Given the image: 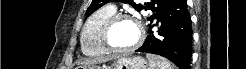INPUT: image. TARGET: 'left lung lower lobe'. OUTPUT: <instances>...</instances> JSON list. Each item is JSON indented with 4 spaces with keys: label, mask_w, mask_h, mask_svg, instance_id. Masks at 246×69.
<instances>
[{
    "label": "left lung lower lobe",
    "mask_w": 246,
    "mask_h": 69,
    "mask_svg": "<svg viewBox=\"0 0 246 69\" xmlns=\"http://www.w3.org/2000/svg\"><path fill=\"white\" fill-rule=\"evenodd\" d=\"M156 19L150 28L160 22L157 34L149 29L144 44L136 51L160 55L180 69H190L192 28L186 0H172Z\"/></svg>",
    "instance_id": "1"
}]
</instances>
